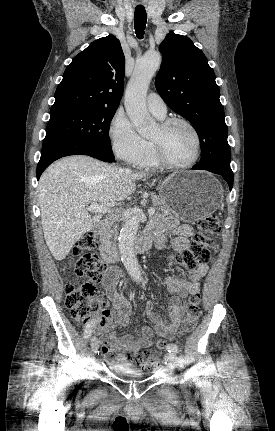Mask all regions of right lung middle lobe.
Wrapping results in <instances>:
<instances>
[{
  "label": "right lung middle lobe",
  "mask_w": 275,
  "mask_h": 431,
  "mask_svg": "<svg viewBox=\"0 0 275 431\" xmlns=\"http://www.w3.org/2000/svg\"><path fill=\"white\" fill-rule=\"evenodd\" d=\"M117 108H77L50 113L45 142L81 141L112 151L109 124Z\"/></svg>",
  "instance_id": "dd1d6c3e"
}]
</instances>
